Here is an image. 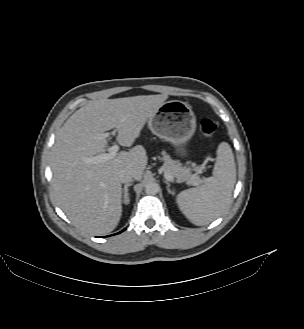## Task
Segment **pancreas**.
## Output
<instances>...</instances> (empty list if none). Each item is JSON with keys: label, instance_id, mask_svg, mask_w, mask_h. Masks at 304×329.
<instances>
[{"label": "pancreas", "instance_id": "pancreas-1", "mask_svg": "<svg viewBox=\"0 0 304 329\" xmlns=\"http://www.w3.org/2000/svg\"><path fill=\"white\" fill-rule=\"evenodd\" d=\"M163 170L164 172L169 173L174 179L178 182H186L191 185V182H200V178L197 175L202 167L194 166L193 168L182 166L178 161L172 160L171 157L163 152ZM192 171H195L193 174Z\"/></svg>", "mask_w": 304, "mask_h": 329}]
</instances>
